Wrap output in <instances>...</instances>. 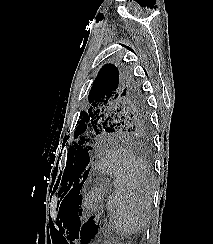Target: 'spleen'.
<instances>
[{"label": "spleen", "mask_w": 213, "mask_h": 244, "mask_svg": "<svg viewBox=\"0 0 213 244\" xmlns=\"http://www.w3.org/2000/svg\"><path fill=\"white\" fill-rule=\"evenodd\" d=\"M100 165L114 179L115 190L106 204L113 228L124 235L140 232L147 223L151 205L149 171L128 153L111 154Z\"/></svg>", "instance_id": "1"}]
</instances>
